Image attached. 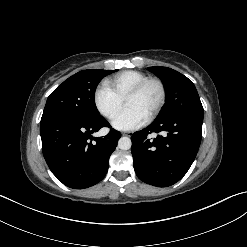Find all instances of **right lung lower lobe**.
Returning a JSON list of instances; mask_svg holds the SVG:
<instances>
[{"label": "right lung lower lobe", "mask_w": 247, "mask_h": 247, "mask_svg": "<svg viewBox=\"0 0 247 247\" xmlns=\"http://www.w3.org/2000/svg\"><path fill=\"white\" fill-rule=\"evenodd\" d=\"M102 127H111L102 116L94 121L65 116L41 120L44 158L64 185L83 189L97 184L106 175L109 157L121 134L111 129L103 138H93L91 134Z\"/></svg>", "instance_id": "right-lung-lower-lobe-1"}]
</instances>
